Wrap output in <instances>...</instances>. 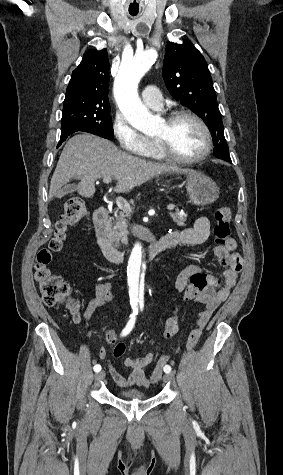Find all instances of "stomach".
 Wrapping results in <instances>:
<instances>
[{"mask_svg": "<svg viewBox=\"0 0 283 475\" xmlns=\"http://www.w3.org/2000/svg\"><path fill=\"white\" fill-rule=\"evenodd\" d=\"M186 178V190L189 200L194 206H208L219 198V188L215 182L202 174V172H190L184 174Z\"/></svg>", "mask_w": 283, "mask_h": 475, "instance_id": "obj_1", "label": "stomach"}]
</instances>
